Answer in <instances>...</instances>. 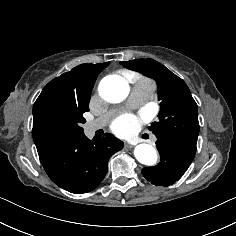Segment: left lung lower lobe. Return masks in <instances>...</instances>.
<instances>
[{"label": "left lung lower lobe", "instance_id": "obj_1", "mask_svg": "<svg viewBox=\"0 0 236 236\" xmlns=\"http://www.w3.org/2000/svg\"><path fill=\"white\" fill-rule=\"evenodd\" d=\"M197 142L174 136L157 138L160 162L142 169L143 176L154 185L169 186L186 172L194 159Z\"/></svg>", "mask_w": 236, "mask_h": 236}]
</instances>
